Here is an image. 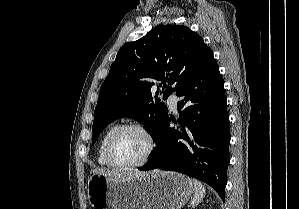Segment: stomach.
Segmentation results:
<instances>
[{
  "instance_id": "stomach-1",
  "label": "stomach",
  "mask_w": 299,
  "mask_h": 209,
  "mask_svg": "<svg viewBox=\"0 0 299 209\" xmlns=\"http://www.w3.org/2000/svg\"><path fill=\"white\" fill-rule=\"evenodd\" d=\"M87 193L93 209H180L191 197L193 184L185 175L160 170L126 179L94 173Z\"/></svg>"
}]
</instances>
